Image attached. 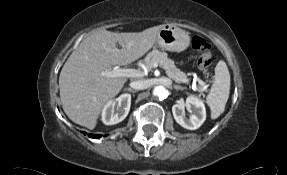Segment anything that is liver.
I'll return each instance as SVG.
<instances>
[{"mask_svg": "<svg viewBox=\"0 0 287 175\" xmlns=\"http://www.w3.org/2000/svg\"><path fill=\"white\" fill-rule=\"evenodd\" d=\"M162 27L154 26L138 33L92 31L60 72V99L69 119L94 129L104 106L127 81L125 77L110 78L103 73L111 71L112 66L128 65L142 57L153 47Z\"/></svg>", "mask_w": 287, "mask_h": 175, "instance_id": "1", "label": "liver"}]
</instances>
